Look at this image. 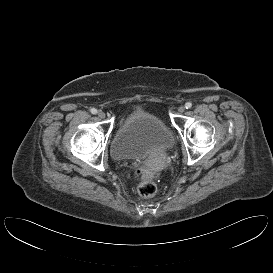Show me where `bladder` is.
Instances as JSON below:
<instances>
[{
    "label": "bladder",
    "mask_w": 273,
    "mask_h": 273,
    "mask_svg": "<svg viewBox=\"0 0 273 273\" xmlns=\"http://www.w3.org/2000/svg\"><path fill=\"white\" fill-rule=\"evenodd\" d=\"M175 139L158 116L137 109L131 112L112 137L110 152L118 161L143 160L159 150H169Z\"/></svg>",
    "instance_id": "1"
}]
</instances>
